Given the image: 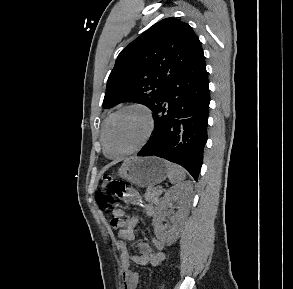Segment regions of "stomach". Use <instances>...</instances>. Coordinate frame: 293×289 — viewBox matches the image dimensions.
<instances>
[{
    "label": "stomach",
    "instance_id": "obj_1",
    "mask_svg": "<svg viewBox=\"0 0 293 289\" xmlns=\"http://www.w3.org/2000/svg\"><path fill=\"white\" fill-rule=\"evenodd\" d=\"M118 174L136 186L147 187L164 181L168 167L166 161L157 157H131L123 162Z\"/></svg>",
    "mask_w": 293,
    "mask_h": 289
}]
</instances>
